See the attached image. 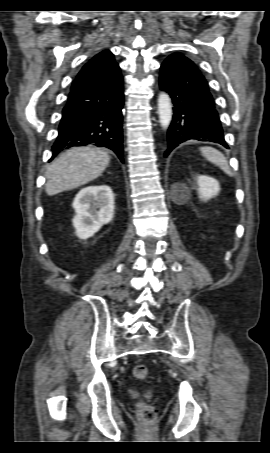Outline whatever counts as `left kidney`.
Returning <instances> with one entry per match:
<instances>
[{"label":"left kidney","instance_id":"5707ae66","mask_svg":"<svg viewBox=\"0 0 270 453\" xmlns=\"http://www.w3.org/2000/svg\"><path fill=\"white\" fill-rule=\"evenodd\" d=\"M197 183L199 198L202 201H207L219 194L220 185L216 179L209 176L200 175L197 178ZM180 190L187 192L185 189Z\"/></svg>","mask_w":270,"mask_h":453}]
</instances>
